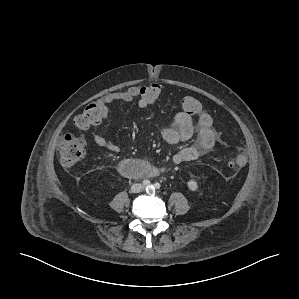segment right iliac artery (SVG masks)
I'll use <instances>...</instances> for the list:
<instances>
[{"label": "right iliac artery", "instance_id": "right-iliac-artery-1", "mask_svg": "<svg viewBox=\"0 0 299 299\" xmlns=\"http://www.w3.org/2000/svg\"><path fill=\"white\" fill-rule=\"evenodd\" d=\"M143 184L148 186L150 184V181L146 179V180L143 181Z\"/></svg>", "mask_w": 299, "mask_h": 299}]
</instances>
